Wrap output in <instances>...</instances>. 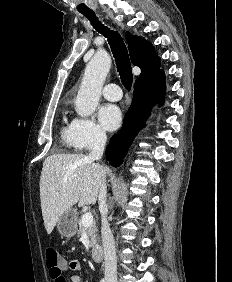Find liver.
<instances>
[{
    "mask_svg": "<svg viewBox=\"0 0 232 282\" xmlns=\"http://www.w3.org/2000/svg\"><path fill=\"white\" fill-rule=\"evenodd\" d=\"M105 174L102 166L83 154H54L45 159L40 176V201L48 234L73 205L96 203Z\"/></svg>",
    "mask_w": 232,
    "mask_h": 282,
    "instance_id": "1",
    "label": "liver"
}]
</instances>
